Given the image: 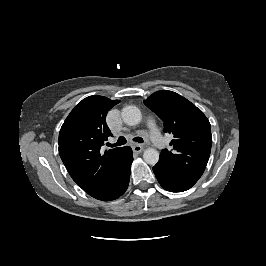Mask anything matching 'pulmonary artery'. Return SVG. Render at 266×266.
Segmentation results:
<instances>
[{"mask_svg":"<svg viewBox=\"0 0 266 266\" xmlns=\"http://www.w3.org/2000/svg\"><path fill=\"white\" fill-rule=\"evenodd\" d=\"M148 127H149V138L153 145L158 148L162 149L165 146V140L158 128L156 121L152 118L148 119Z\"/></svg>","mask_w":266,"mask_h":266,"instance_id":"e3ab8cb5","label":"pulmonary artery"}]
</instances>
